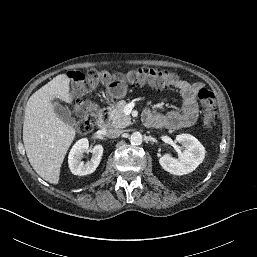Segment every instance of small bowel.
Wrapping results in <instances>:
<instances>
[{
    "label": "small bowel",
    "mask_w": 257,
    "mask_h": 257,
    "mask_svg": "<svg viewBox=\"0 0 257 257\" xmlns=\"http://www.w3.org/2000/svg\"><path fill=\"white\" fill-rule=\"evenodd\" d=\"M173 87H175L181 95V111H169L161 114L147 110L144 113V121L147 126L179 129L192 126L196 123L198 118L196 96L198 91L202 88V84L179 80Z\"/></svg>",
    "instance_id": "c3829d8e"
}]
</instances>
